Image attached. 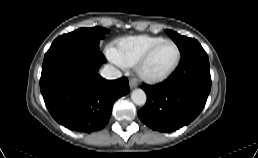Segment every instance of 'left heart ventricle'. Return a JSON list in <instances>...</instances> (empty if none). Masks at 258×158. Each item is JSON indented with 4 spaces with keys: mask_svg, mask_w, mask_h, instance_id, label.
<instances>
[{
    "mask_svg": "<svg viewBox=\"0 0 258 158\" xmlns=\"http://www.w3.org/2000/svg\"><path fill=\"white\" fill-rule=\"evenodd\" d=\"M176 49L171 43L160 45L148 60L145 69L148 73L158 75L172 66L176 59Z\"/></svg>",
    "mask_w": 258,
    "mask_h": 158,
    "instance_id": "obj_1",
    "label": "left heart ventricle"
}]
</instances>
